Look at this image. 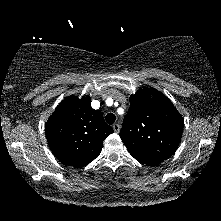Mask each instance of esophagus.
Masks as SVG:
<instances>
[{"mask_svg": "<svg viewBox=\"0 0 221 221\" xmlns=\"http://www.w3.org/2000/svg\"><path fill=\"white\" fill-rule=\"evenodd\" d=\"M113 130L115 133H118L120 131V125L119 124H113L112 126Z\"/></svg>", "mask_w": 221, "mask_h": 221, "instance_id": "obj_1", "label": "esophagus"}]
</instances>
